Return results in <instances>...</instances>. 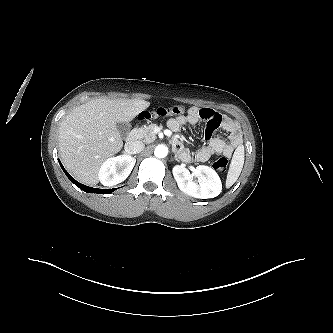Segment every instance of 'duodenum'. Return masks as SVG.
<instances>
[{
    "label": "duodenum",
    "instance_id": "duodenum-1",
    "mask_svg": "<svg viewBox=\"0 0 333 333\" xmlns=\"http://www.w3.org/2000/svg\"><path fill=\"white\" fill-rule=\"evenodd\" d=\"M140 137V129L134 128L127 136V146L133 145Z\"/></svg>",
    "mask_w": 333,
    "mask_h": 333
}]
</instances>
